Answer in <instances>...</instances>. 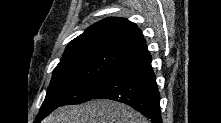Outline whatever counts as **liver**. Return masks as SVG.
Wrapping results in <instances>:
<instances>
[{"instance_id": "liver-1", "label": "liver", "mask_w": 221, "mask_h": 123, "mask_svg": "<svg viewBox=\"0 0 221 123\" xmlns=\"http://www.w3.org/2000/svg\"><path fill=\"white\" fill-rule=\"evenodd\" d=\"M42 123H149L131 107L111 101L92 100L56 109Z\"/></svg>"}]
</instances>
